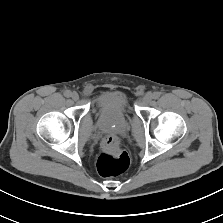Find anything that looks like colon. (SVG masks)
Segmentation results:
<instances>
[{
    "instance_id": "1",
    "label": "colon",
    "mask_w": 223,
    "mask_h": 223,
    "mask_svg": "<svg viewBox=\"0 0 223 223\" xmlns=\"http://www.w3.org/2000/svg\"><path fill=\"white\" fill-rule=\"evenodd\" d=\"M130 164L129 155L119 146L116 136L104 140V148L97 160V170L102 177H114L125 172Z\"/></svg>"
}]
</instances>
